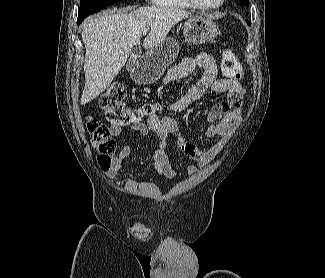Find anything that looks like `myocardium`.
Returning <instances> with one entry per match:
<instances>
[{
    "label": "myocardium",
    "instance_id": "1",
    "mask_svg": "<svg viewBox=\"0 0 325 278\" xmlns=\"http://www.w3.org/2000/svg\"><path fill=\"white\" fill-rule=\"evenodd\" d=\"M226 0H220L217 4L215 5H211V6H207V5H203L201 3H199L198 0H188V2L197 9L200 10H205V11H212V10H216L219 9L220 7L223 6V4L225 3Z\"/></svg>",
    "mask_w": 325,
    "mask_h": 278
}]
</instances>
